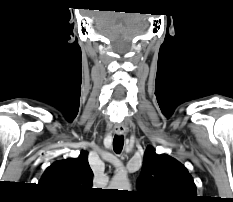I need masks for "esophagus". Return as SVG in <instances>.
I'll return each mask as SVG.
<instances>
[{
	"label": "esophagus",
	"instance_id": "obj_1",
	"mask_svg": "<svg viewBox=\"0 0 233 202\" xmlns=\"http://www.w3.org/2000/svg\"><path fill=\"white\" fill-rule=\"evenodd\" d=\"M114 131H115L116 134L122 135V134L125 133L126 128H125V126L123 124H120V125H116L114 127Z\"/></svg>",
	"mask_w": 233,
	"mask_h": 202
}]
</instances>
